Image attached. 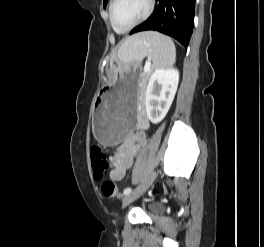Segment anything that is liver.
I'll return each mask as SVG.
<instances>
[{
	"label": "liver",
	"instance_id": "1",
	"mask_svg": "<svg viewBox=\"0 0 264 247\" xmlns=\"http://www.w3.org/2000/svg\"><path fill=\"white\" fill-rule=\"evenodd\" d=\"M137 35H138V34H137ZM135 36H136V35H134L133 37H130L129 39H132V38H134ZM129 39H128V40H129Z\"/></svg>",
	"mask_w": 264,
	"mask_h": 247
}]
</instances>
